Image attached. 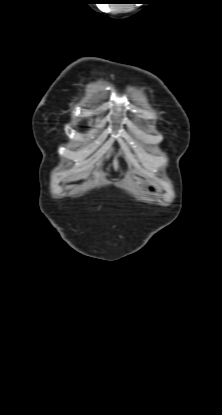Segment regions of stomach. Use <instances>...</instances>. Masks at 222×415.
<instances>
[{"label": "stomach", "mask_w": 222, "mask_h": 415, "mask_svg": "<svg viewBox=\"0 0 222 415\" xmlns=\"http://www.w3.org/2000/svg\"><path fill=\"white\" fill-rule=\"evenodd\" d=\"M147 189L153 195H157L159 192V189L154 184H151V183L147 185Z\"/></svg>", "instance_id": "stomach-1"}]
</instances>
